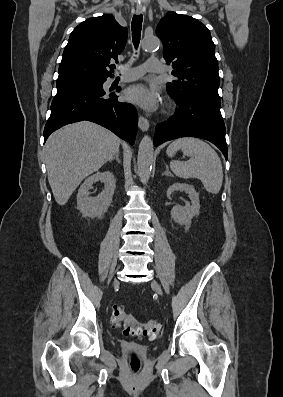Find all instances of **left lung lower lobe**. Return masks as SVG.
I'll use <instances>...</instances> for the list:
<instances>
[{
  "mask_svg": "<svg viewBox=\"0 0 283 397\" xmlns=\"http://www.w3.org/2000/svg\"><path fill=\"white\" fill-rule=\"evenodd\" d=\"M175 100L179 106L177 113L168 121L156 126L154 145L158 146L180 137H198L215 144L227 159L221 103L197 96Z\"/></svg>",
  "mask_w": 283,
  "mask_h": 397,
  "instance_id": "0a47b994",
  "label": "left lung lower lobe"
}]
</instances>
